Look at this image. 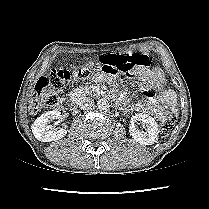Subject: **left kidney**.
<instances>
[{
    "label": "left kidney",
    "mask_w": 209,
    "mask_h": 209,
    "mask_svg": "<svg viewBox=\"0 0 209 209\" xmlns=\"http://www.w3.org/2000/svg\"><path fill=\"white\" fill-rule=\"evenodd\" d=\"M137 121L144 124L146 132H141L136 128L135 123ZM129 133L135 141L144 145H152L158 139V125L151 116L138 113L132 117Z\"/></svg>",
    "instance_id": "left-kidney-1"
}]
</instances>
